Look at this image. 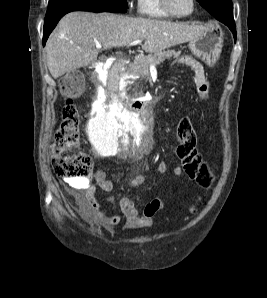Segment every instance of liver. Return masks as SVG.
Instances as JSON below:
<instances>
[{
    "label": "liver",
    "instance_id": "liver-1",
    "mask_svg": "<svg viewBox=\"0 0 267 298\" xmlns=\"http://www.w3.org/2000/svg\"><path fill=\"white\" fill-rule=\"evenodd\" d=\"M207 28L165 20L133 18L112 13L71 12L46 43L47 65L54 79L94 63L103 50L145 40L142 49L156 53L200 37Z\"/></svg>",
    "mask_w": 267,
    "mask_h": 298
}]
</instances>
